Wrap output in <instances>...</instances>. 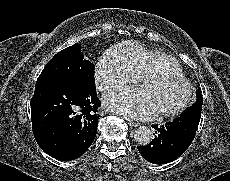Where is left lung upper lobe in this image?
Here are the masks:
<instances>
[{
	"mask_svg": "<svg viewBox=\"0 0 230 181\" xmlns=\"http://www.w3.org/2000/svg\"><path fill=\"white\" fill-rule=\"evenodd\" d=\"M196 96H197L196 102L191 107H188L186 110L188 109H197L199 111L202 110L203 98L201 96V93L197 91Z\"/></svg>",
	"mask_w": 230,
	"mask_h": 181,
	"instance_id": "left-lung-upper-lobe-1",
	"label": "left lung upper lobe"
}]
</instances>
